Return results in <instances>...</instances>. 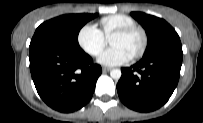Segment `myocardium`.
Here are the masks:
<instances>
[{"label":"myocardium","instance_id":"myocardium-1","mask_svg":"<svg viewBox=\"0 0 203 123\" xmlns=\"http://www.w3.org/2000/svg\"><path fill=\"white\" fill-rule=\"evenodd\" d=\"M133 32H139L142 36V45L140 49L132 56V59H137V58H140L145 53L148 46V36L146 31L142 27L134 25V26H128V27L118 29L112 33V35L110 36V39L113 36H125Z\"/></svg>","mask_w":203,"mask_h":123}]
</instances>
